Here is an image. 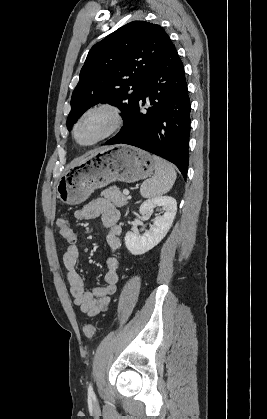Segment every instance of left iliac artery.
I'll list each match as a JSON object with an SVG mask.
<instances>
[{
    "instance_id": "left-iliac-artery-1",
    "label": "left iliac artery",
    "mask_w": 267,
    "mask_h": 419,
    "mask_svg": "<svg viewBox=\"0 0 267 419\" xmlns=\"http://www.w3.org/2000/svg\"><path fill=\"white\" fill-rule=\"evenodd\" d=\"M88 396L94 397V391H93V387L91 383L89 384V387H88Z\"/></svg>"
}]
</instances>
